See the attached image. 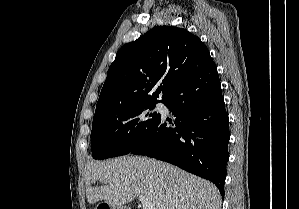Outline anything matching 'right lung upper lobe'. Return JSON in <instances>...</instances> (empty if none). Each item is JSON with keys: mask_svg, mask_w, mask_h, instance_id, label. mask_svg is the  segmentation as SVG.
<instances>
[{"mask_svg": "<svg viewBox=\"0 0 299 209\" xmlns=\"http://www.w3.org/2000/svg\"><path fill=\"white\" fill-rule=\"evenodd\" d=\"M206 69L217 71L207 47L197 36L173 26L155 27L117 52L95 115L118 107L158 102L159 95L165 100L181 81Z\"/></svg>", "mask_w": 299, "mask_h": 209, "instance_id": "1", "label": "right lung upper lobe"}]
</instances>
